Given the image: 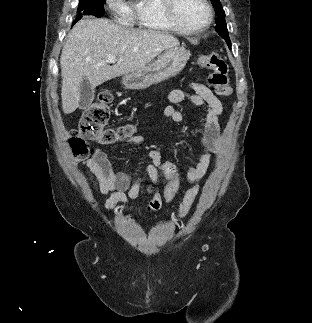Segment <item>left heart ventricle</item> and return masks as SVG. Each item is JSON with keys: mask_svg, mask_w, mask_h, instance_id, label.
Wrapping results in <instances>:
<instances>
[{"mask_svg": "<svg viewBox=\"0 0 312 323\" xmlns=\"http://www.w3.org/2000/svg\"><path fill=\"white\" fill-rule=\"evenodd\" d=\"M173 13L186 22H195L196 18H207L209 7H203L201 0H172Z\"/></svg>", "mask_w": 312, "mask_h": 323, "instance_id": "1", "label": "left heart ventricle"}]
</instances>
